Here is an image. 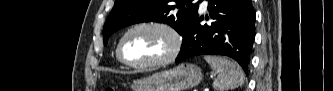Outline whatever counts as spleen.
Returning a JSON list of instances; mask_svg holds the SVG:
<instances>
[{"label": "spleen", "instance_id": "3e777b00", "mask_svg": "<svg viewBox=\"0 0 333 91\" xmlns=\"http://www.w3.org/2000/svg\"><path fill=\"white\" fill-rule=\"evenodd\" d=\"M204 59L217 72L213 82L215 91H228L244 83V73L236 62L218 56H204Z\"/></svg>", "mask_w": 333, "mask_h": 91}]
</instances>
